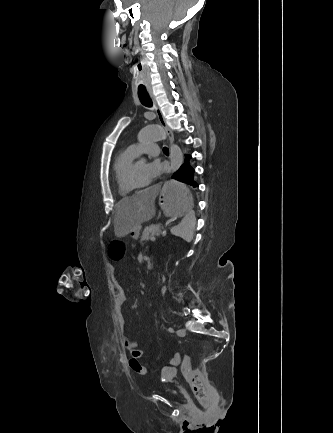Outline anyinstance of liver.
I'll return each instance as SVG.
<instances>
[{
  "mask_svg": "<svg viewBox=\"0 0 333 433\" xmlns=\"http://www.w3.org/2000/svg\"><path fill=\"white\" fill-rule=\"evenodd\" d=\"M150 190L136 192L133 197L121 199L115 206L114 233L122 238L132 231H140L144 222L151 220L155 215L156 184L150 185Z\"/></svg>",
  "mask_w": 333,
  "mask_h": 433,
  "instance_id": "1",
  "label": "liver"
}]
</instances>
